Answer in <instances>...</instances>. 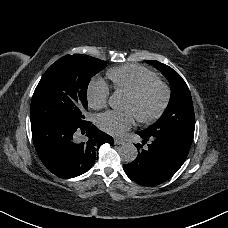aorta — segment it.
<instances>
[{
	"instance_id": "obj_1",
	"label": "aorta",
	"mask_w": 228,
	"mask_h": 228,
	"mask_svg": "<svg viewBox=\"0 0 228 228\" xmlns=\"http://www.w3.org/2000/svg\"><path fill=\"white\" fill-rule=\"evenodd\" d=\"M108 104L113 109H121L124 105L123 96L120 93L115 92L110 96ZM137 155V148L132 143H125L120 147V156L128 163L133 162Z\"/></svg>"
}]
</instances>
